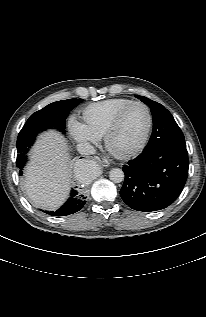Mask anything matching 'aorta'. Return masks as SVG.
Returning <instances> with one entry per match:
<instances>
[{"instance_id": "aorta-1", "label": "aorta", "mask_w": 206, "mask_h": 317, "mask_svg": "<svg viewBox=\"0 0 206 317\" xmlns=\"http://www.w3.org/2000/svg\"><path fill=\"white\" fill-rule=\"evenodd\" d=\"M98 174L99 167L96 162L93 161H87L83 163L78 170V176L83 181L91 180ZM124 177V172L119 168H113L109 172V178L114 183H121L124 180Z\"/></svg>"}]
</instances>
